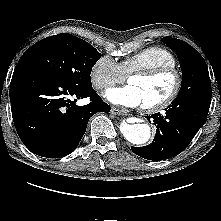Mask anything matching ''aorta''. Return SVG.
<instances>
[{
    "mask_svg": "<svg viewBox=\"0 0 221 221\" xmlns=\"http://www.w3.org/2000/svg\"><path fill=\"white\" fill-rule=\"evenodd\" d=\"M120 131L127 141L136 145L147 143L151 137V128L146 123L130 124L122 121Z\"/></svg>",
    "mask_w": 221,
    "mask_h": 221,
    "instance_id": "obj_1",
    "label": "aorta"
}]
</instances>
